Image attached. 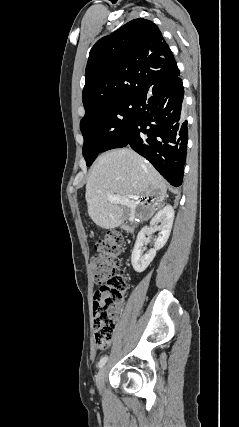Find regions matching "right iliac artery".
<instances>
[{"instance_id": "obj_1", "label": "right iliac artery", "mask_w": 239, "mask_h": 427, "mask_svg": "<svg viewBox=\"0 0 239 427\" xmlns=\"http://www.w3.org/2000/svg\"><path fill=\"white\" fill-rule=\"evenodd\" d=\"M107 359H108L107 356L102 357L98 363V367L102 368L104 366V364L106 363Z\"/></svg>"}]
</instances>
